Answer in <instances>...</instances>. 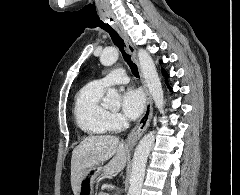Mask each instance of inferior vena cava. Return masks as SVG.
I'll list each match as a JSON object with an SVG mask.
<instances>
[{
	"instance_id": "602c4592",
	"label": "inferior vena cava",
	"mask_w": 240,
	"mask_h": 195,
	"mask_svg": "<svg viewBox=\"0 0 240 195\" xmlns=\"http://www.w3.org/2000/svg\"><path fill=\"white\" fill-rule=\"evenodd\" d=\"M123 125H124V127H129V121H126V119H125V121H123Z\"/></svg>"
}]
</instances>
